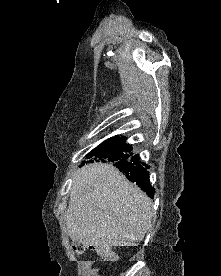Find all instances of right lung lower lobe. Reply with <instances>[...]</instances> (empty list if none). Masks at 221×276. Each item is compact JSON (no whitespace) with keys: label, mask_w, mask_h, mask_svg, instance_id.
<instances>
[{"label":"right lung lower lobe","mask_w":221,"mask_h":276,"mask_svg":"<svg viewBox=\"0 0 221 276\" xmlns=\"http://www.w3.org/2000/svg\"><path fill=\"white\" fill-rule=\"evenodd\" d=\"M119 171L123 172L127 179L135 182L147 195L153 198L155 189L150 185L149 172L146 163L139 160V156L135 155L127 159H121L113 163Z\"/></svg>","instance_id":"obj_1"}]
</instances>
